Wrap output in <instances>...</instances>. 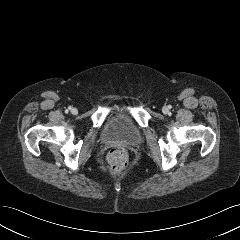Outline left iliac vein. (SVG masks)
Listing matches in <instances>:
<instances>
[{
  "mask_svg": "<svg viewBox=\"0 0 240 240\" xmlns=\"http://www.w3.org/2000/svg\"><path fill=\"white\" fill-rule=\"evenodd\" d=\"M162 111H163V113H167V112H168V109H167L166 107H164V108L162 109Z\"/></svg>",
  "mask_w": 240,
  "mask_h": 240,
  "instance_id": "obj_1",
  "label": "left iliac vein"
}]
</instances>
